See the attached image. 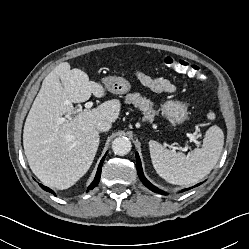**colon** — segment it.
I'll return each mask as SVG.
<instances>
[{"mask_svg":"<svg viewBox=\"0 0 249 249\" xmlns=\"http://www.w3.org/2000/svg\"><path fill=\"white\" fill-rule=\"evenodd\" d=\"M163 64L171 69H174L178 73L185 74L190 78L202 81L205 79V75L201 68L185 59L176 58L173 56H166L163 59Z\"/></svg>","mask_w":249,"mask_h":249,"instance_id":"1","label":"colon"}]
</instances>
